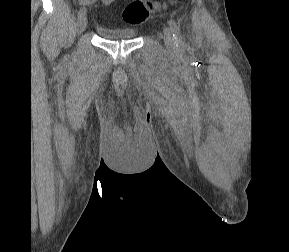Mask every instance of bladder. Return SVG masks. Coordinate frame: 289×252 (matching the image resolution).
<instances>
[{"label":"bladder","mask_w":289,"mask_h":252,"mask_svg":"<svg viewBox=\"0 0 289 252\" xmlns=\"http://www.w3.org/2000/svg\"><path fill=\"white\" fill-rule=\"evenodd\" d=\"M96 32L101 38L113 41L131 40L137 36V32L130 28L98 26Z\"/></svg>","instance_id":"bladder-1"}]
</instances>
